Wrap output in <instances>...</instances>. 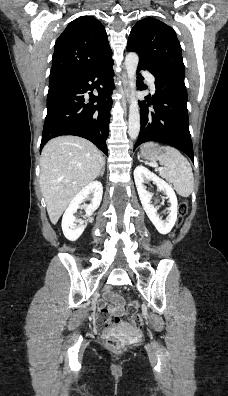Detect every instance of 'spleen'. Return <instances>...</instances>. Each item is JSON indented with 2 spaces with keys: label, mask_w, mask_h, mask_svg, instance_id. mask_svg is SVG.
Returning <instances> with one entry per match:
<instances>
[{
  "label": "spleen",
  "mask_w": 228,
  "mask_h": 396,
  "mask_svg": "<svg viewBox=\"0 0 228 396\" xmlns=\"http://www.w3.org/2000/svg\"><path fill=\"white\" fill-rule=\"evenodd\" d=\"M154 146H158V144L148 142L143 144L141 149ZM163 148L166 150V154L159 158L162 166L158 170L160 176L173 184L174 189L180 196H190L194 188V177L190 163L178 150L169 146Z\"/></svg>",
  "instance_id": "3e777b00"
}]
</instances>
